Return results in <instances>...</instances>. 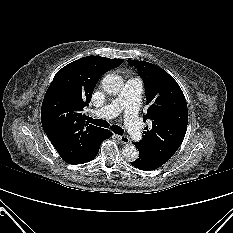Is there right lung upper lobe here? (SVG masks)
Segmentation results:
<instances>
[{
    "label": "right lung upper lobe",
    "mask_w": 233,
    "mask_h": 233,
    "mask_svg": "<svg viewBox=\"0 0 233 233\" xmlns=\"http://www.w3.org/2000/svg\"><path fill=\"white\" fill-rule=\"evenodd\" d=\"M123 59L87 56L59 70L42 103L41 121L49 140L67 163H73L98 140L102 128L85 121L83 108L99 78Z\"/></svg>",
    "instance_id": "cb5924a9"
}]
</instances>
